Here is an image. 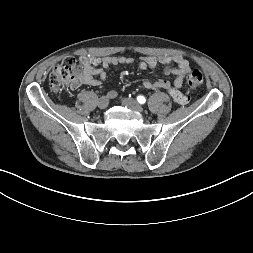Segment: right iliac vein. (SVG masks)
Instances as JSON below:
<instances>
[{
  "label": "right iliac vein",
  "instance_id": "right-iliac-vein-1",
  "mask_svg": "<svg viewBox=\"0 0 253 253\" xmlns=\"http://www.w3.org/2000/svg\"><path fill=\"white\" fill-rule=\"evenodd\" d=\"M109 104V99L106 96H102L98 101V107L100 109H105Z\"/></svg>",
  "mask_w": 253,
  "mask_h": 253
}]
</instances>
